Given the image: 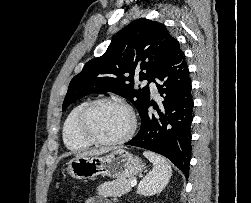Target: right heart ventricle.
<instances>
[{
  "label": "right heart ventricle",
  "mask_w": 251,
  "mask_h": 203,
  "mask_svg": "<svg viewBox=\"0 0 251 203\" xmlns=\"http://www.w3.org/2000/svg\"><path fill=\"white\" fill-rule=\"evenodd\" d=\"M87 102L75 105L65 117L62 126V137L65 146L71 151H82L90 147L91 144L83 140L76 131V121L79 112Z\"/></svg>",
  "instance_id": "e07e8e85"
}]
</instances>
